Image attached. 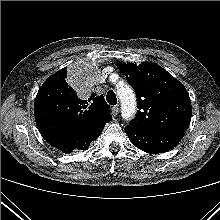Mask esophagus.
Segmentation results:
<instances>
[{
    "label": "esophagus",
    "mask_w": 220,
    "mask_h": 220,
    "mask_svg": "<svg viewBox=\"0 0 220 220\" xmlns=\"http://www.w3.org/2000/svg\"><path fill=\"white\" fill-rule=\"evenodd\" d=\"M118 113H119V106L112 107V114L116 116L118 115Z\"/></svg>",
    "instance_id": "esophagus-1"
}]
</instances>
